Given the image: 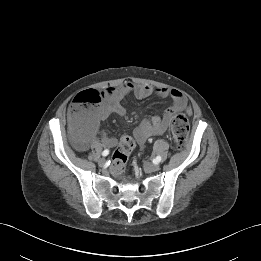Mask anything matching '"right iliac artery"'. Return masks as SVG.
Returning a JSON list of instances; mask_svg holds the SVG:
<instances>
[{
    "label": "right iliac artery",
    "mask_w": 261,
    "mask_h": 261,
    "mask_svg": "<svg viewBox=\"0 0 261 261\" xmlns=\"http://www.w3.org/2000/svg\"><path fill=\"white\" fill-rule=\"evenodd\" d=\"M109 154V150H104L103 152H102V155L103 156H107Z\"/></svg>",
    "instance_id": "obj_1"
}]
</instances>
